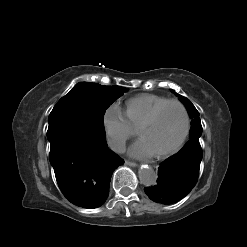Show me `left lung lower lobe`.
Returning a JSON list of instances; mask_svg holds the SVG:
<instances>
[{
    "label": "left lung lower lobe",
    "instance_id": "1",
    "mask_svg": "<svg viewBox=\"0 0 247 247\" xmlns=\"http://www.w3.org/2000/svg\"><path fill=\"white\" fill-rule=\"evenodd\" d=\"M202 156L199 140L190 139L180 152L160 164L157 184L144 189L147 196L162 204L184 198L197 182Z\"/></svg>",
    "mask_w": 247,
    "mask_h": 247
}]
</instances>
